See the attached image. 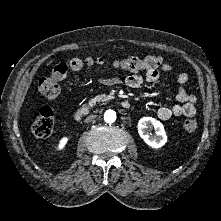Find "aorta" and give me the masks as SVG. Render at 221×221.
Here are the masks:
<instances>
[{"label":"aorta","mask_w":221,"mask_h":221,"mask_svg":"<svg viewBox=\"0 0 221 221\" xmlns=\"http://www.w3.org/2000/svg\"><path fill=\"white\" fill-rule=\"evenodd\" d=\"M104 120L106 123H114L116 120V112L111 109L105 111Z\"/></svg>","instance_id":"762f6f07"}]
</instances>
